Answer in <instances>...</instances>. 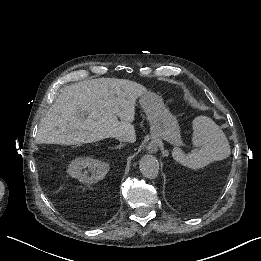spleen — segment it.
Instances as JSON below:
<instances>
[{"instance_id": "1", "label": "spleen", "mask_w": 261, "mask_h": 261, "mask_svg": "<svg viewBox=\"0 0 261 261\" xmlns=\"http://www.w3.org/2000/svg\"><path fill=\"white\" fill-rule=\"evenodd\" d=\"M193 145L198 147L182 154L180 163L191 169L203 168L230 156L228 139L222 129L209 117L198 116L193 122Z\"/></svg>"}]
</instances>
